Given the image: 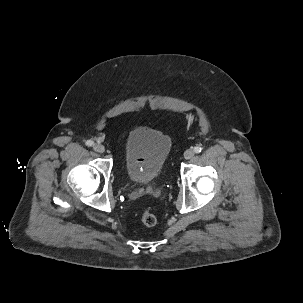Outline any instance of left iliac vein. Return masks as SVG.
<instances>
[{"label": "left iliac vein", "mask_w": 303, "mask_h": 303, "mask_svg": "<svg viewBox=\"0 0 303 303\" xmlns=\"http://www.w3.org/2000/svg\"><path fill=\"white\" fill-rule=\"evenodd\" d=\"M194 156V151L192 149H187L184 152V158L185 159H191Z\"/></svg>", "instance_id": "left-iliac-vein-1"}]
</instances>
